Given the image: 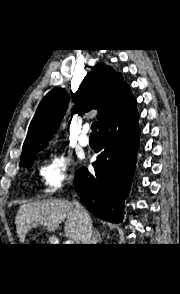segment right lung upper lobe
<instances>
[{
	"mask_svg": "<svg viewBox=\"0 0 180 294\" xmlns=\"http://www.w3.org/2000/svg\"><path fill=\"white\" fill-rule=\"evenodd\" d=\"M72 96L79 115L92 109L98 110L99 127L134 98L129 85L123 82L122 75L105 64L95 65ZM67 103L68 95L63 88H55L46 94L30 123L21 161L27 160L45 147L59 127Z\"/></svg>",
	"mask_w": 180,
	"mask_h": 294,
	"instance_id": "1",
	"label": "right lung upper lobe"
}]
</instances>
